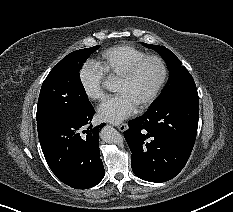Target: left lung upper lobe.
Returning <instances> with one entry per match:
<instances>
[{"mask_svg":"<svg viewBox=\"0 0 233 212\" xmlns=\"http://www.w3.org/2000/svg\"><path fill=\"white\" fill-rule=\"evenodd\" d=\"M144 46L154 49L166 61L169 68V80L158 98L153 102L167 101L174 97H196L198 93L196 85L188 70L182 65L181 61L164 46L150 45L143 43Z\"/></svg>","mask_w":233,"mask_h":212,"instance_id":"left-lung-upper-lobe-1","label":"left lung upper lobe"}]
</instances>
